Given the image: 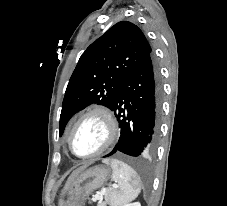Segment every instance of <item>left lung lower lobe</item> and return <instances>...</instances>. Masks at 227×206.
<instances>
[{"mask_svg":"<svg viewBox=\"0 0 227 206\" xmlns=\"http://www.w3.org/2000/svg\"><path fill=\"white\" fill-rule=\"evenodd\" d=\"M162 86L152 56L146 58L123 82L112 107L121 136L111 156L123 152L146 155L155 149L159 134Z\"/></svg>","mask_w":227,"mask_h":206,"instance_id":"obj_1","label":"left lung lower lobe"}]
</instances>
